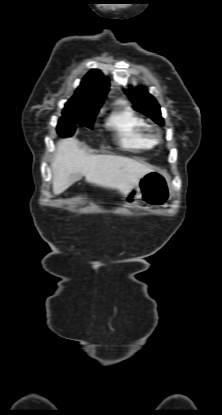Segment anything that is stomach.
I'll list each match as a JSON object with an SVG mask.
<instances>
[{
    "mask_svg": "<svg viewBox=\"0 0 222 415\" xmlns=\"http://www.w3.org/2000/svg\"><path fill=\"white\" fill-rule=\"evenodd\" d=\"M172 196L170 176L162 170H154L143 176L125 195L128 205L142 199L151 207L164 206Z\"/></svg>",
    "mask_w": 222,
    "mask_h": 415,
    "instance_id": "1",
    "label": "stomach"
}]
</instances>
